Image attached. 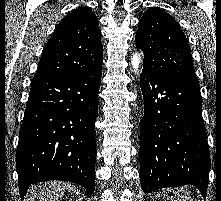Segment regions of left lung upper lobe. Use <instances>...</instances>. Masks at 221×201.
Instances as JSON below:
<instances>
[{
    "label": "left lung upper lobe",
    "instance_id": "left-lung-upper-lobe-1",
    "mask_svg": "<svg viewBox=\"0 0 221 201\" xmlns=\"http://www.w3.org/2000/svg\"><path fill=\"white\" fill-rule=\"evenodd\" d=\"M135 39L136 46L144 52L143 70L199 86L188 41L171 15L157 7L145 11Z\"/></svg>",
    "mask_w": 221,
    "mask_h": 201
}]
</instances>
